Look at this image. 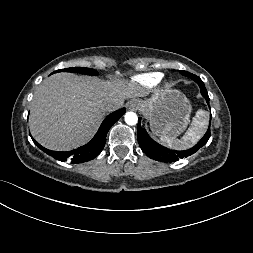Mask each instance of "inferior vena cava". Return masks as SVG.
Returning <instances> with one entry per match:
<instances>
[{
    "mask_svg": "<svg viewBox=\"0 0 253 253\" xmlns=\"http://www.w3.org/2000/svg\"><path fill=\"white\" fill-rule=\"evenodd\" d=\"M114 108H115V105L112 104V103H110V104L107 105V110H112Z\"/></svg>",
    "mask_w": 253,
    "mask_h": 253,
    "instance_id": "602c4592",
    "label": "inferior vena cava"
}]
</instances>
